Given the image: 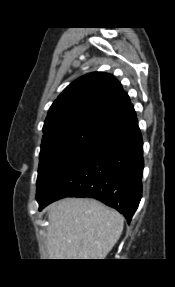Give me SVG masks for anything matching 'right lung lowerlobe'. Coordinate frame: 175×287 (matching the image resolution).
Returning <instances> with one entry per match:
<instances>
[{
  "instance_id": "98d812e1",
  "label": "right lung lower lobe",
  "mask_w": 175,
  "mask_h": 287,
  "mask_svg": "<svg viewBox=\"0 0 175 287\" xmlns=\"http://www.w3.org/2000/svg\"><path fill=\"white\" fill-rule=\"evenodd\" d=\"M143 141L136 115L119 122L41 196L39 210L63 197H91L128 222L142 196Z\"/></svg>"
}]
</instances>
